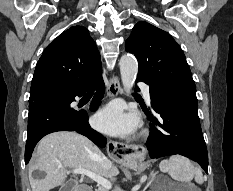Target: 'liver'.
Here are the masks:
<instances>
[{
    "mask_svg": "<svg viewBox=\"0 0 233 191\" xmlns=\"http://www.w3.org/2000/svg\"><path fill=\"white\" fill-rule=\"evenodd\" d=\"M103 153L88 138L76 132L59 131L43 137L36 149L35 159L29 165L32 191H50L64 186L69 169L89 170L101 177L112 178L119 174L116 166L109 170L101 167ZM63 166V168H60ZM34 170L44 171L45 178L35 179Z\"/></svg>",
    "mask_w": 233,
    "mask_h": 191,
    "instance_id": "liver-1",
    "label": "liver"
}]
</instances>
